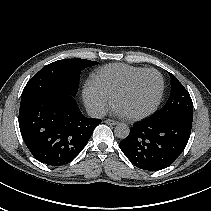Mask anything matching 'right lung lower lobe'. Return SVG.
Here are the masks:
<instances>
[{"label":"right lung lower lobe","mask_w":211,"mask_h":211,"mask_svg":"<svg viewBox=\"0 0 211 211\" xmlns=\"http://www.w3.org/2000/svg\"><path fill=\"white\" fill-rule=\"evenodd\" d=\"M100 119L85 117L72 96L48 95L20 105L19 127L31 154L51 166L70 163Z\"/></svg>","instance_id":"98d812e1"}]
</instances>
